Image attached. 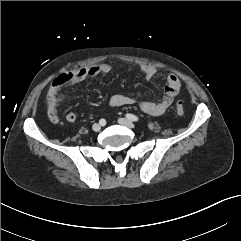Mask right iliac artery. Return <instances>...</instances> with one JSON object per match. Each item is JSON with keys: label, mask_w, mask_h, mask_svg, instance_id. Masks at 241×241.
<instances>
[{"label": "right iliac artery", "mask_w": 241, "mask_h": 241, "mask_svg": "<svg viewBox=\"0 0 241 241\" xmlns=\"http://www.w3.org/2000/svg\"><path fill=\"white\" fill-rule=\"evenodd\" d=\"M99 123H100V125L104 126V125L106 124V121H105L104 119H101V120L99 121Z\"/></svg>", "instance_id": "1"}]
</instances>
